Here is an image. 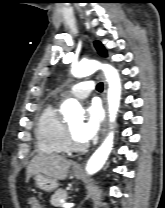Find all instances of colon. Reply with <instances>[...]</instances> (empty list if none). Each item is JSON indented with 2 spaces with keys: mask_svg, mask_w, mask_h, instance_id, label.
Listing matches in <instances>:
<instances>
[{
  "mask_svg": "<svg viewBox=\"0 0 165 208\" xmlns=\"http://www.w3.org/2000/svg\"><path fill=\"white\" fill-rule=\"evenodd\" d=\"M28 206L29 208H43L42 202L36 197L29 198Z\"/></svg>",
  "mask_w": 165,
  "mask_h": 208,
  "instance_id": "colon-1",
  "label": "colon"
}]
</instances>
